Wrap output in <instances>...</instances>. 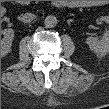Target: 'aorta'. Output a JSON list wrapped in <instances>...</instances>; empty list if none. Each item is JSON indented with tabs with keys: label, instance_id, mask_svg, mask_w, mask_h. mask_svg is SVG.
<instances>
[{
	"label": "aorta",
	"instance_id": "obj_1",
	"mask_svg": "<svg viewBox=\"0 0 109 109\" xmlns=\"http://www.w3.org/2000/svg\"><path fill=\"white\" fill-rule=\"evenodd\" d=\"M44 24L47 28H53L57 25V18L53 15H49L45 18Z\"/></svg>",
	"mask_w": 109,
	"mask_h": 109
}]
</instances>
